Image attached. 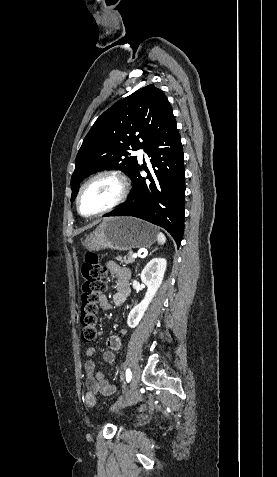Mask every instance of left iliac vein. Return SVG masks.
I'll use <instances>...</instances> for the list:
<instances>
[{
  "label": "left iliac vein",
  "mask_w": 277,
  "mask_h": 477,
  "mask_svg": "<svg viewBox=\"0 0 277 477\" xmlns=\"http://www.w3.org/2000/svg\"><path fill=\"white\" fill-rule=\"evenodd\" d=\"M140 377H141V369L139 365H136L133 370L132 381H131V386L129 391L125 394V396L119 399V401L113 406V408H117L128 402V400L133 396V394L135 393L138 387Z\"/></svg>",
  "instance_id": "left-iliac-vein-1"
}]
</instances>
